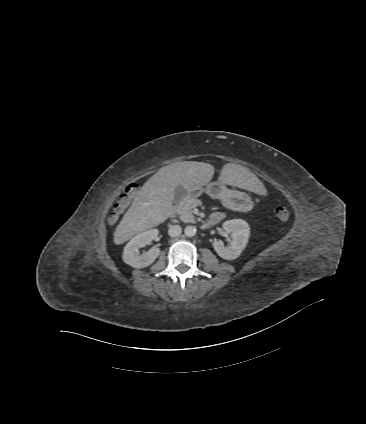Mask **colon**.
Returning <instances> with one entry per match:
<instances>
[{
  "mask_svg": "<svg viewBox=\"0 0 366 424\" xmlns=\"http://www.w3.org/2000/svg\"><path fill=\"white\" fill-rule=\"evenodd\" d=\"M137 192L138 186L136 184H131L126 188L125 193L118 199L112 211L113 221L119 217L121 212L128 206L130 200L137 194ZM276 215L281 220H287L290 216V213L287 208L279 206L276 208Z\"/></svg>",
  "mask_w": 366,
  "mask_h": 424,
  "instance_id": "colon-1",
  "label": "colon"
}]
</instances>
